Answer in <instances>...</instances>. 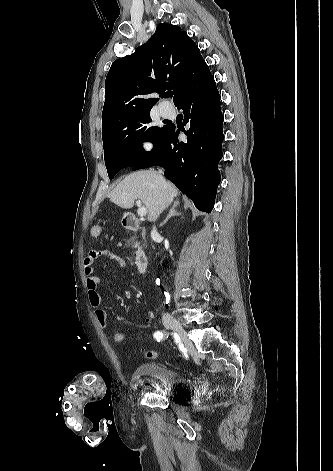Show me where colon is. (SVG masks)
<instances>
[{"label":"colon","instance_id":"colon-1","mask_svg":"<svg viewBox=\"0 0 333 471\" xmlns=\"http://www.w3.org/2000/svg\"><path fill=\"white\" fill-rule=\"evenodd\" d=\"M102 232V227L100 225H93L91 227V235L93 237H99ZM113 341L117 345H123L126 341V335L123 332L117 331L113 335ZM157 352L153 350H148L145 352V357L147 359H155L157 358Z\"/></svg>","mask_w":333,"mask_h":471}]
</instances>
